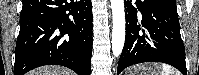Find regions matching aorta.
Listing matches in <instances>:
<instances>
[{
	"mask_svg": "<svg viewBox=\"0 0 199 75\" xmlns=\"http://www.w3.org/2000/svg\"><path fill=\"white\" fill-rule=\"evenodd\" d=\"M112 9V52L120 56L125 42V11L124 0H111Z\"/></svg>",
	"mask_w": 199,
	"mask_h": 75,
	"instance_id": "obj_1",
	"label": "aorta"
}]
</instances>
